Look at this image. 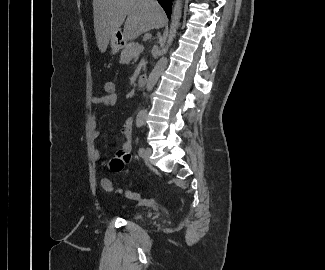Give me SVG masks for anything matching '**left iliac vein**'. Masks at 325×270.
<instances>
[{"label": "left iliac vein", "mask_w": 325, "mask_h": 270, "mask_svg": "<svg viewBox=\"0 0 325 270\" xmlns=\"http://www.w3.org/2000/svg\"><path fill=\"white\" fill-rule=\"evenodd\" d=\"M151 153H152L151 148L147 147V148L144 150V153H143V155H142L143 159H144L145 161H149V157H150Z\"/></svg>", "instance_id": "obj_1"}]
</instances>
